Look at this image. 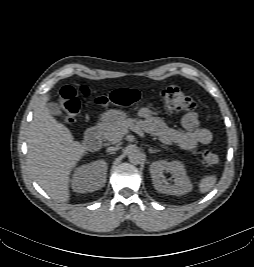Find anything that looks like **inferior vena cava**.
Returning <instances> with one entry per match:
<instances>
[{"label":"inferior vena cava","instance_id":"602c4592","mask_svg":"<svg viewBox=\"0 0 254 267\" xmlns=\"http://www.w3.org/2000/svg\"><path fill=\"white\" fill-rule=\"evenodd\" d=\"M118 149H119L118 147H113L112 146V147H108L106 151L107 152H114V151H117Z\"/></svg>","mask_w":254,"mask_h":267}]
</instances>
